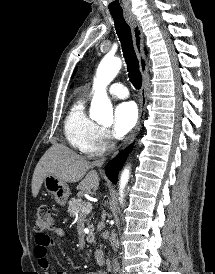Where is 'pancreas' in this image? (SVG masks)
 Listing matches in <instances>:
<instances>
[{
    "label": "pancreas",
    "instance_id": "cf45deb5",
    "mask_svg": "<svg viewBox=\"0 0 215 274\" xmlns=\"http://www.w3.org/2000/svg\"><path fill=\"white\" fill-rule=\"evenodd\" d=\"M85 204L86 203L82 199L73 198L68 202L67 212L70 214L71 217L78 216V220L86 221L85 218H86L87 213L82 212V207ZM89 228H90V234L88 235L86 240L89 243H93L95 241L94 240V234H93L94 228H93L92 225H89Z\"/></svg>",
    "mask_w": 215,
    "mask_h": 274
}]
</instances>
